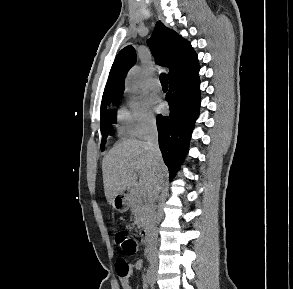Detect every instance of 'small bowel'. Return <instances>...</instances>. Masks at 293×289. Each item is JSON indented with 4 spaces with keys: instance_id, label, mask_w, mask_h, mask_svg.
<instances>
[{
    "instance_id": "1",
    "label": "small bowel",
    "mask_w": 293,
    "mask_h": 289,
    "mask_svg": "<svg viewBox=\"0 0 293 289\" xmlns=\"http://www.w3.org/2000/svg\"><path fill=\"white\" fill-rule=\"evenodd\" d=\"M143 267L142 262L138 261L136 263L133 264L132 268L134 270H141ZM121 288L122 289H130L129 285H128V281L126 279H122L121 280Z\"/></svg>"
}]
</instances>
